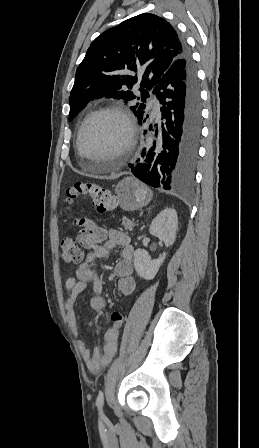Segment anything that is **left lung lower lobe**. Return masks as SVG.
<instances>
[{
  "instance_id": "left-lung-lower-lobe-1",
  "label": "left lung lower lobe",
  "mask_w": 259,
  "mask_h": 448,
  "mask_svg": "<svg viewBox=\"0 0 259 448\" xmlns=\"http://www.w3.org/2000/svg\"><path fill=\"white\" fill-rule=\"evenodd\" d=\"M182 43V56L171 64L153 88L162 104L163 122L153 126L154 141L150 148L142 150V161L137 165L129 164L131 172L142 182L173 192L192 186L201 136L197 73L183 40ZM148 117L146 113L139 118V124Z\"/></svg>"
}]
</instances>
